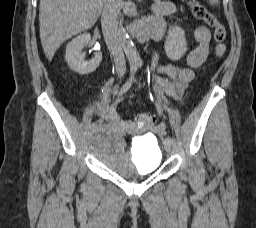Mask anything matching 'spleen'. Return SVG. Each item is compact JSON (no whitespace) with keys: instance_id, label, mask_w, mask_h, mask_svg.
Here are the masks:
<instances>
[{"instance_id":"spleen-1","label":"spleen","mask_w":256,"mask_h":228,"mask_svg":"<svg viewBox=\"0 0 256 228\" xmlns=\"http://www.w3.org/2000/svg\"><path fill=\"white\" fill-rule=\"evenodd\" d=\"M211 5H217L219 3V0H209Z\"/></svg>"}]
</instances>
